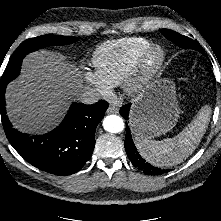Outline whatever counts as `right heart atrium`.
<instances>
[{"label": "right heart atrium", "instance_id": "right-heart-atrium-1", "mask_svg": "<svg viewBox=\"0 0 221 221\" xmlns=\"http://www.w3.org/2000/svg\"><path fill=\"white\" fill-rule=\"evenodd\" d=\"M86 81L92 85L95 90L101 95H108L111 92V86H109L96 71L88 70L85 72Z\"/></svg>", "mask_w": 221, "mask_h": 221}]
</instances>
